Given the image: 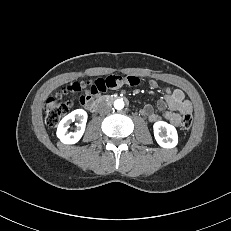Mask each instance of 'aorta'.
<instances>
[{"label":"aorta","mask_w":231,"mask_h":231,"mask_svg":"<svg viewBox=\"0 0 231 231\" xmlns=\"http://www.w3.org/2000/svg\"><path fill=\"white\" fill-rule=\"evenodd\" d=\"M114 108L117 110H121L124 108V101L122 99H117L114 101Z\"/></svg>","instance_id":"aorta-1"}]
</instances>
